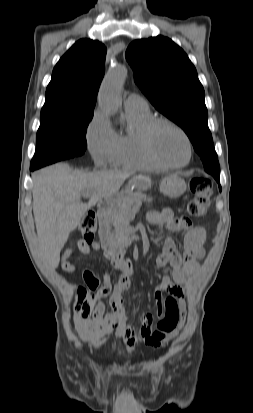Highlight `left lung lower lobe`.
<instances>
[{
  "instance_id": "left-lung-lower-lobe-1",
  "label": "left lung lower lobe",
  "mask_w": 253,
  "mask_h": 413,
  "mask_svg": "<svg viewBox=\"0 0 253 413\" xmlns=\"http://www.w3.org/2000/svg\"><path fill=\"white\" fill-rule=\"evenodd\" d=\"M213 177H214L215 180L219 183V176H218V175H213ZM219 189L221 190V186H219Z\"/></svg>"
}]
</instances>
